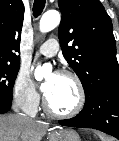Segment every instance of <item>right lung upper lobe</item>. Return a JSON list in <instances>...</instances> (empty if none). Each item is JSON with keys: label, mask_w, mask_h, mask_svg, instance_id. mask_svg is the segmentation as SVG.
Wrapping results in <instances>:
<instances>
[{"label": "right lung upper lobe", "mask_w": 119, "mask_h": 141, "mask_svg": "<svg viewBox=\"0 0 119 141\" xmlns=\"http://www.w3.org/2000/svg\"><path fill=\"white\" fill-rule=\"evenodd\" d=\"M23 18L22 0H0V63L20 64Z\"/></svg>", "instance_id": "right-lung-upper-lobe-1"}]
</instances>
